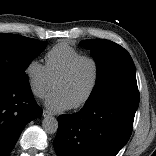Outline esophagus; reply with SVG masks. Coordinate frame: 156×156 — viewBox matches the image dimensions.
<instances>
[{
  "label": "esophagus",
  "instance_id": "34e87169",
  "mask_svg": "<svg viewBox=\"0 0 156 156\" xmlns=\"http://www.w3.org/2000/svg\"><path fill=\"white\" fill-rule=\"evenodd\" d=\"M51 115H52L51 112H49V111H47V110H44V111H43V116H44V117L51 116Z\"/></svg>",
  "mask_w": 156,
  "mask_h": 156
}]
</instances>
